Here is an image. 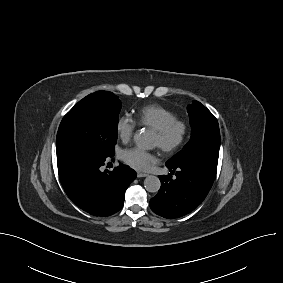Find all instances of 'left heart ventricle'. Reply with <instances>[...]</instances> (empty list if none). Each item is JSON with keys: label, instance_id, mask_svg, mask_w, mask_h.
<instances>
[{"label": "left heart ventricle", "instance_id": "b2bd125f", "mask_svg": "<svg viewBox=\"0 0 283 283\" xmlns=\"http://www.w3.org/2000/svg\"><path fill=\"white\" fill-rule=\"evenodd\" d=\"M173 137H175V134L173 135ZM153 144L154 146H158L161 144V140L160 138L157 136V134L155 133L154 135V139H153Z\"/></svg>", "mask_w": 283, "mask_h": 283}]
</instances>
